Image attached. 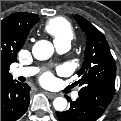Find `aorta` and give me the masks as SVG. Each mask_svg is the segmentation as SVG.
Returning a JSON list of instances; mask_svg holds the SVG:
<instances>
[{
  "label": "aorta",
  "instance_id": "aorta-1",
  "mask_svg": "<svg viewBox=\"0 0 121 121\" xmlns=\"http://www.w3.org/2000/svg\"><path fill=\"white\" fill-rule=\"evenodd\" d=\"M54 52V47L51 42L47 40H40L36 42L32 48L34 58L37 60H47ZM53 106L57 111H64L67 107V100L63 97H57L53 101Z\"/></svg>",
  "mask_w": 121,
  "mask_h": 121
}]
</instances>
